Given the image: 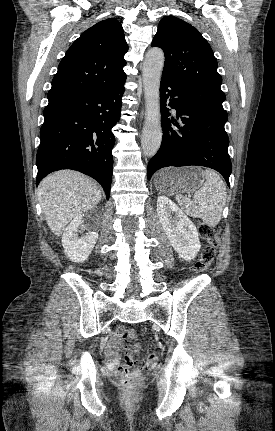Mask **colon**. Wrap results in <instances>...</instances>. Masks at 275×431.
I'll return each instance as SVG.
<instances>
[{"instance_id": "1", "label": "colon", "mask_w": 275, "mask_h": 431, "mask_svg": "<svg viewBox=\"0 0 275 431\" xmlns=\"http://www.w3.org/2000/svg\"><path fill=\"white\" fill-rule=\"evenodd\" d=\"M200 235L208 241V245L203 249L202 257L195 265V270L198 273L206 271L213 263L216 256V249L219 245L220 229L217 226L209 225L206 223L199 224ZM127 337L130 339H137L139 337L135 330H129ZM132 350L134 353L140 351L138 344L133 345ZM158 357L155 354H149L145 361L135 360L132 362H125L117 369V374L122 378V386L129 392L138 391L143 385L142 371L146 367H153L157 364Z\"/></svg>"}]
</instances>
